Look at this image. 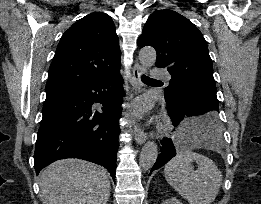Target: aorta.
Returning <instances> with one entry per match:
<instances>
[{"label": "aorta", "mask_w": 261, "mask_h": 204, "mask_svg": "<svg viewBox=\"0 0 261 204\" xmlns=\"http://www.w3.org/2000/svg\"><path fill=\"white\" fill-rule=\"evenodd\" d=\"M139 61L145 68L152 67L156 62V51L153 47H144L139 52ZM158 157V147L153 141H148L142 148L139 165L142 169H150Z\"/></svg>", "instance_id": "aorta-1"}]
</instances>
